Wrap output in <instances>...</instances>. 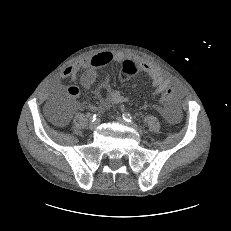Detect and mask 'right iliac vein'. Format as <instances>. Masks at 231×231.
<instances>
[{
    "label": "right iliac vein",
    "mask_w": 231,
    "mask_h": 231,
    "mask_svg": "<svg viewBox=\"0 0 231 231\" xmlns=\"http://www.w3.org/2000/svg\"><path fill=\"white\" fill-rule=\"evenodd\" d=\"M96 126H97V122H90L89 123V128L91 129V130H94L95 128H96Z\"/></svg>",
    "instance_id": "right-iliac-vein-1"
}]
</instances>
